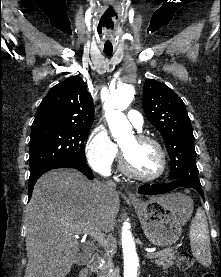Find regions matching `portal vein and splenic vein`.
<instances>
[{
	"label": "portal vein and splenic vein",
	"mask_w": 221,
	"mask_h": 277,
	"mask_svg": "<svg viewBox=\"0 0 221 277\" xmlns=\"http://www.w3.org/2000/svg\"><path fill=\"white\" fill-rule=\"evenodd\" d=\"M82 233L83 234H89L90 236H92L98 242L99 245H102L104 247H106L108 245V240L105 239V236L101 232H99L98 230L93 228L92 226L85 227L83 229ZM167 249L160 250V251H157V252H149L147 254V256L150 257V258L156 257L158 255H161Z\"/></svg>",
	"instance_id": "portal-vein-and-splenic-vein-1"
}]
</instances>
